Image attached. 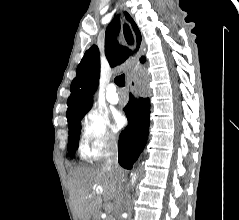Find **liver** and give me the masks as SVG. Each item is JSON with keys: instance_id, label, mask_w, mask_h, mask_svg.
Wrapping results in <instances>:
<instances>
[{"instance_id": "6515ba94", "label": "liver", "mask_w": 239, "mask_h": 220, "mask_svg": "<svg viewBox=\"0 0 239 220\" xmlns=\"http://www.w3.org/2000/svg\"><path fill=\"white\" fill-rule=\"evenodd\" d=\"M124 171H118L100 164L90 168L77 169L69 181L72 204L80 220H100L103 201L114 200L120 210L123 200L122 184Z\"/></svg>"}]
</instances>
